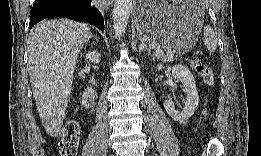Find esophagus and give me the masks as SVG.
<instances>
[{
    "mask_svg": "<svg viewBox=\"0 0 261 156\" xmlns=\"http://www.w3.org/2000/svg\"><path fill=\"white\" fill-rule=\"evenodd\" d=\"M112 4V2H110V1H106V2H103V7L104 8H106V9H108V7L110 6Z\"/></svg>",
    "mask_w": 261,
    "mask_h": 156,
    "instance_id": "1",
    "label": "esophagus"
}]
</instances>
